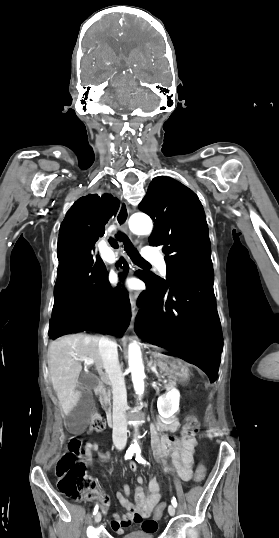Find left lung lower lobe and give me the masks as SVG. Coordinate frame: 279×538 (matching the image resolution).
Here are the masks:
<instances>
[{"mask_svg":"<svg viewBox=\"0 0 279 538\" xmlns=\"http://www.w3.org/2000/svg\"><path fill=\"white\" fill-rule=\"evenodd\" d=\"M148 291L138 300L135 330L145 341L174 351L201 368L210 382L217 378L222 334L214 296L213 270H205L169 283L164 290L149 277Z\"/></svg>","mask_w":279,"mask_h":538,"instance_id":"obj_1","label":"left lung lower lobe"}]
</instances>
